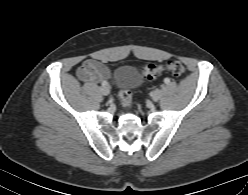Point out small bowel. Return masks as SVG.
I'll return each mask as SVG.
<instances>
[{"label": "small bowel", "mask_w": 248, "mask_h": 195, "mask_svg": "<svg viewBox=\"0 0 248 195\" xmlns=\"http://www.w3.org/2000/svg\"><path fill=\"white\" fill-rule=\"evenodd\" d=\"M78 78L88 84L107 81L111 78L110 69L102 62L95 59H87L77 70Z\"/></svg>", "instance_id": "c3829d8e"}]
</instances>
